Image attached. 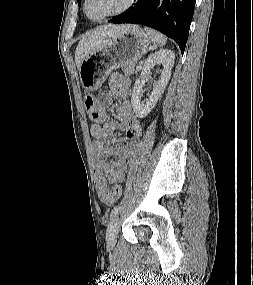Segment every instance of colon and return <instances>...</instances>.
I'll return each instance as SVG.
<instances>
[{
	"label": "colon",
	"instance_id": "1",
	"mask_svg": "<svg viewBox=\"0 0 253 285\" xmlns=\"http://www.w3.org/2000/svg\"><path fill=\"white\" fill-rule=\"evenodd\" d=\"M84 103H85V107H86V110L88 112L92 111L93 108L95 107L96 105V101H95V98L91 95V94H87L85 96V100H84ZM114 190L116 193L120 194L122 193V187L120 185H116L114 187Z\"/></svg>",
	"mask_w": 253,
	"mask_h": 285
}]
</instances>
